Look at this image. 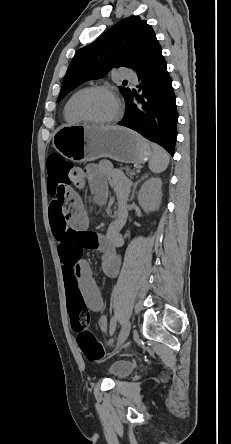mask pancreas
<instances>
[{"label": "pancreas", "instance_id": "obj_1", "mask_svg": "<svg viewBox=\"0 0 231 444\" xmlns=\"http://www.w3.org/2000/svg\"><path fill=\"white\" fill-rule=\"evenodd\" d=\"M120 169H121V170H124V171L126 172V174H127L130 178H133V177L136 175L135 171H134V170H131L129 166H123V165H121V166H120Z\"/></svg>", "mask_w": 231, "mask_h": 444}]
</instances>
